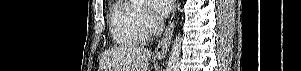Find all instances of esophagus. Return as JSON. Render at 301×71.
<instances>
[{"mask_svg": "<svg viewBox=\"0 0 301 71\" xmlns=\"http://www.w3.org/2000/svg\"><path fill=\"white\" fill-rule=\"evenodd\" d=\"M176 3H177V0H174L173 1V11H172V15H171L169 24L163 34L161 41L159 42L158 46L155 49V55L158 58H163L166 55L169 45H170V42H171V37L173 34V28H174Z\"/></svg>", "mask_w": 301, "mask_h": 71, "instance_id": "1", "label": "esophagus"}]
</instances>
